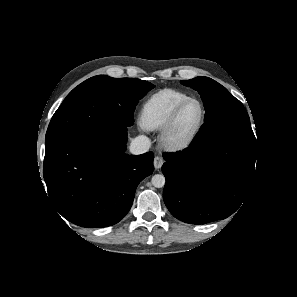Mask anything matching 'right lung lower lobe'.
<instances>
[{"label": "right lung lower lobe", "mask_w": 297, "mask_h": 297, "mask_svg": "<svg viewBox=\"0 0 297 297\" xmlns=\"http://www.w3.org/2000/svg\"><path fill=\"white\" fill-rule=\"evenodd\" d=\"M127 128L112 126L74 136L45 152L43 175L53 205L88 228L118 223L138 184L153 172L152 152L125 154Z\"/></svg>", "instance_id": "right-lung-lower-lobe-1"}]
</instances>
